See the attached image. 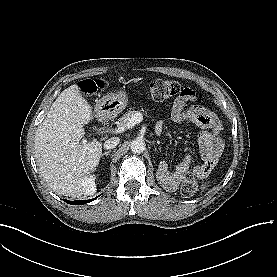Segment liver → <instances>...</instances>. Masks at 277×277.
<instances>
[{"mask_svg":"<svg viewBox=\"0 0 277 277\" xmlns=\"http://www.w3.org/2000/svg\"><path fill=\"white\" fill-rule=\"evenodd\" d=\"M94 119L78 85L66 88L52 104L35 133V159L43 178L58 195H91L83 181L99 164L102 143L86 141L83 126Z\"/></svg>","mask_w":277,"mask_h":277,"instance_id":"1","label":"liver"}]
</instances>
